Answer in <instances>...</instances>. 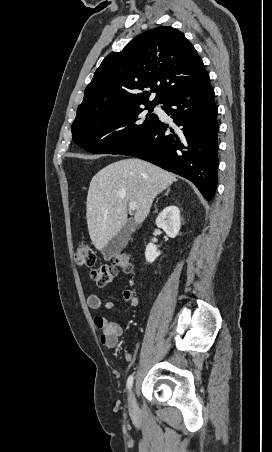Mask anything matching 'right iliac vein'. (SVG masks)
<instances>
[{
	"instance_id": "63e3f726",
	"label": "right iliac vein",
	"mask_w": 272,
	"mask_h": 452,
	"mask_svg": "<svg viewBox=\"0 0 272 452\" xmlns=\"http://www.w3.org/2000/svg\"><path fill=\"white\" fill-rule=\"evenodd\" d=\"M128 403H129V410L132 415H135L137 412V404L135 399L134 390L131 389L129 396H128Z\"/></svg>"
}]
</instances>
